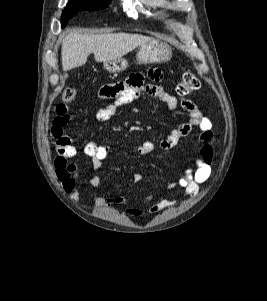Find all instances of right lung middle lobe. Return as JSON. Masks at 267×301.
I'll list each match as a JSON object with an SVG mask.
<instances>
[{
  "label": "right lung middle lobe",
  "mask_w": 267,
  "mask_h": 301,
  "mask_svg": "<svg viewBox=\"0 0 267 301\" xmlns=\"http://www.w3.org/2000/svg\"><path fill=\"white\" fill-rule=\"evenodd\" d=\"M109 3L110 0H70L62 12V27H64L68 20L77 12L103 9Z\"/></svg>",
  "instance_id": "dd1d6c3e"
}]
</instances>
